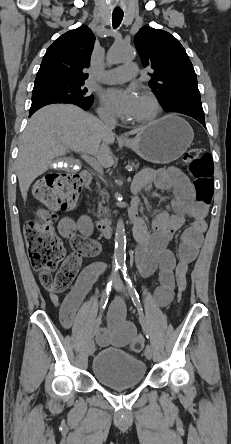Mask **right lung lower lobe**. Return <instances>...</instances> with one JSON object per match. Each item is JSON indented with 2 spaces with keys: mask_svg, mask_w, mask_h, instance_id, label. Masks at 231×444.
<instances>
[{
  "mask_svg": "<svg viewBox=\"0 0 231 444\" xmlns=\"http://www.w3.org/2000/svg\"><path fill=\"white\" fill-rule=\"evenodd\" d=\"M48 104H51V103H44V104H39V105L31 106L29 117H30L35 111H37V110L40 109L41 107H43V106H45V105H48ZM76 105L80 106V107L83 108L84 110L89 109L90 106H91V105H80V104H76Z\"/></svg>",
  "mask_w": 231,
  "mask_h": 444,
  "instance_id": "1",
  "label": "right lung lower lobe"
}]
</instances>
